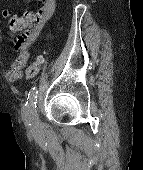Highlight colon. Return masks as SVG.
Listing matches in <instances>:
<instances>
[{"label":"colon","instance_id":"5ec220e1","mask_svg":"<svg viewBox=\"0 0 143 170\" xmlns=\"http://www.w3.org/2000/svg\"><path fill=\"white\" fill-rule=\"evenodd\" d=\"M33 16H34V13L32 11H26L23 15L24 19L26 20V23L9 21V25L13 26V27H23L31 21ZM43 61H44V58L42 55L36 56L33 63L28 67V70H27V78L28 79L34 78L39 73V71L42 67Z\"/></svg>","mask_w":143,"mask_h":170}]
</instances>
